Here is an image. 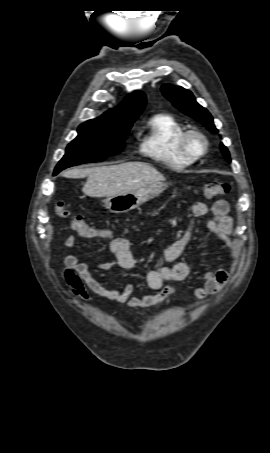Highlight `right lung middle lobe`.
<instances>
[{
	"instance_id": "dd1d6c3e",
	"label": "right lung middle lobe",
	"mask_w": 270,
	"mask_h": 453,
	"mask_svg": "<svg viewBox=\"0 0 270 453\" xmlns=\"http://www.w3.org/2000/svg\"><path fill=\"white\" fill-rule=\"evenodd\" d=\"M131 126L113 127L95 121L81 124L78 128V136L67 146L66 153L57 164L54 175L67 167L103 161L109 156L120 153Z\"/></svg>"
}]
</instances>
